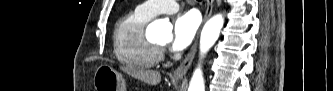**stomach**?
I'll list each match as a JSON object with an SVG mask.
<instances>
[{"instance_id": "0dacf381", "label": "stomach", "mask_w": 333, "mask_h": 91, "mask_svg": "<svg viewBox=\"0 0 333 91\" xmlns=\"http://www.w3.org/2000/svg\"><path fill=\"white\" fill-rule=\"evenodd\" d=\"M93 84L96 91H126L123 75L108 65H101L97 68Z\"/></svg>"}]
</instances>
